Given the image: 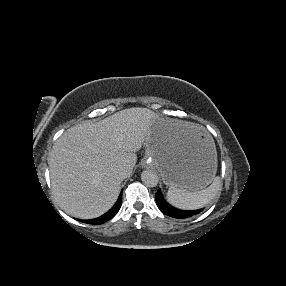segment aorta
Here are the masks:
<instances>
[{
  "mask_svg": "<svg viewBox=\"0 0 286 286\" xmlns=\"http://www.w3.org/2000/svg\"><path fill=\"white\" fill-rule=\"evenodd\" d=\"M141 180L148 187H156L159 182L157 174L152 170H144L141 174Z\"/></svg>",
  "mask_w": 286,
  "mask_h": 286,
  "instance_id": "aorta-1",
  "label": "aorta"
}]
</instances>
